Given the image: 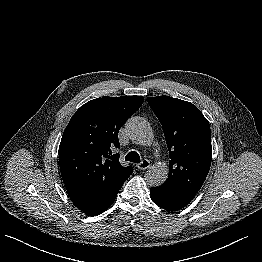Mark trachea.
<instances>
[{
  "label": "trachea",
  "mask_w": 262,
  "mask_h": 262,
  "mask_svg": "<svg viewBox=\"0 0 262 262\" xmlns=\"http://www.w3.org/2000/svg\"><path fill=\"white\" fill-rule=\"evenodd\" d=\"M125 160L133 162V163H139L140 162V156L137 152L131 151L125 156Z\"/></svg>",
  "instance_id": "obj_1"
}]
</instances>
